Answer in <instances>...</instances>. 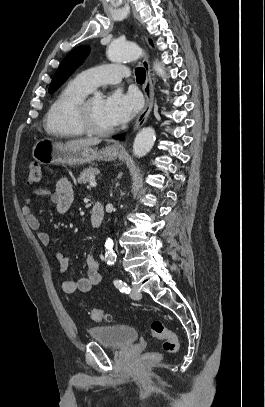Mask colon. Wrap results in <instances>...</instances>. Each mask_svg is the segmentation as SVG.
<instances>
[{
    "label": "colon",
    "mask_w": 265,
    "mask_h": 407,
    "mask_svg": "<svg viewBox=\"0 0 265 407\" xmlns=\"http://www.w3.org/2000/svg\"><path fill=\"white\" fill-rule=\"evenodd\" d=\"M43 178L42 167L38 162H31L28 172V184L40 183ZM90 317L96 322L111 321L112 315L101 309H92ZM149 334L162 341V350L160 352H150L143 356V362H155L162 358L164 354H172L178 350L179 343L177 335L170 330L163 322L155 320L151 323Z\"/></svg>",
    "instance_id": "colon-1"
}]
</instances>
